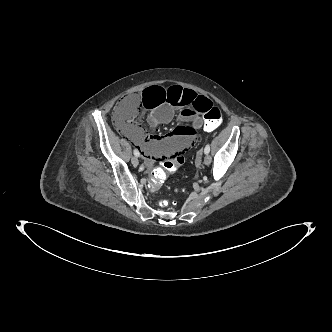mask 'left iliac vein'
Instances as JSON below:
<instances>
[{
  "instance_id": "4c4485c4",
  "label": "left iliac vein",
  "mask_w": 332,
  "mask_h": 332,
  "mask_svg": "<svg viewBox=\"0 0 332 332\" xmlns=\"http://www.w3.org/2000/svg\"><path fill=\"white\" fill-rule=\"evenodd\" d=\"M212 161V158L210 155L206 154L205 157H204V164L205 165H209Z\"/></svg>"
}]
</instances>
